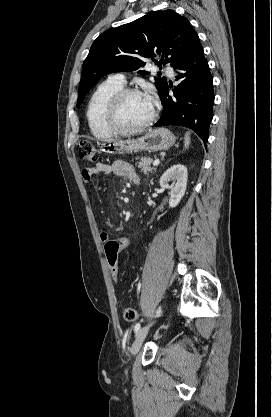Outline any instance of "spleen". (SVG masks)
Masks as SVG:
<instances>
[{"label":"spleen","instance_id":"3e777b00","mask_svg":"<svg viewBox=\"0 0 272 417\" xmlns=\"http://www.w3.org/2000/svg\"><path fill=\"white\" fill-rule=\"evenodd\" d=\"M189 145H190V135H189V133H186L185 138H184V146H185V148H188Z\"/></svg>","mask_w":272,"mask_h":417}]
</instances>
